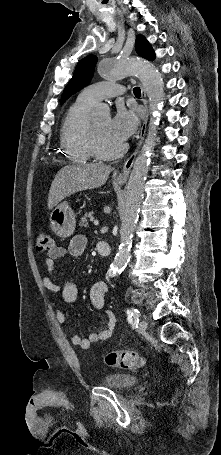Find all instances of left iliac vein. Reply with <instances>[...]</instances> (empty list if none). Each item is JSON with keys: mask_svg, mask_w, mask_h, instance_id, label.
<instances>
[{"mask_svg": "<svg viewBox=\"0 0 221 455\" xmlns=\"http://www.w3.org/2000/svg\"><path fill=\"white\" fill-rule=\"evenodd\" d=\"M147 322L145 320H141L138 326L140 332H144L147 329Z\"/></svg>", "mask_w": 221, "mask_h": 455, "instance_id": "left-iliac-vein-1", "label": "left iliac vein"}]
</instances>
